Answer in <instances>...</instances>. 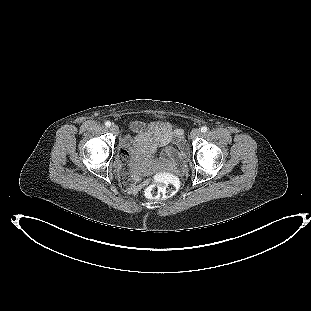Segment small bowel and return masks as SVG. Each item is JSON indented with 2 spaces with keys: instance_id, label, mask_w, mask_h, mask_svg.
<instances>
[{
  "instance_id": "c3829d8e",
  "label": "small bowel",
  "mask_w": 311,
  "mask_h": 311,
  "mask_svg": "<svg viewBox=\"0 0 311 311\" xmlns=\"http://www.w3.org/2000/svg\"><path fill=\"white\" fill-rule=\"evenodd\" d=\"M133 132L136 133L138 139L142 142L144 147V152L146 154L155 152L157 149L164 147L170 143L177 145L178 150H170L167 152L168 158H175L176 165L178 168L183 167V162L187 157V147L182 137V131L172 125L169 122L158 121L151 125H147L142 122H134L132 125ZM133 139L130 136H126L122 140V145L126 150L132 143ZM145 164L144 162L133 167L131 171L126 170L121 167L122 176L125 178V187L129 190L134 189V184L132 180L139 178L144 172Z\"/></svg>"
}]
</instances>
